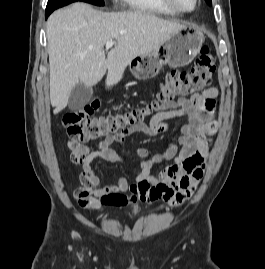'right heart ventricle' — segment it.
Segmentation results:
<instances>
[{
    "mask_svg": "<svg viewBox=\"0 0 265 269\" xmlns=\"http://www.w3.org/2000/svg\"><path fill=\"white\" fill-rule=\"evenodd\" d=\"M122 2L130 9L139 12L167 15L178 14V12L163 4L161 0H122Z\"/></svg>",
    "mask_w": 265,
    "mask_h": 269,
    "instance_id": "obj_1",
    "label": "right heart ventricle"
}]
</instances>
